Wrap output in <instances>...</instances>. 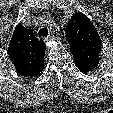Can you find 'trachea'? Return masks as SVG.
Returning a JSON list of instances; mask_svg holds the SVG:
<instances>
[{"label":"trachea","mask_w":113,"mask_h":113,"mask_svg":"<svg viewBox=\"0 0 113 113\" xmlns=\"http://www.w3.org/2000/svg\"><path fill=\"white\" fill-rule=\"evenodd\" d=\"M39 37H47L48 36V29L41 28L38 32Z\"/></svg>","instance_id":"1"}]
</instances>
